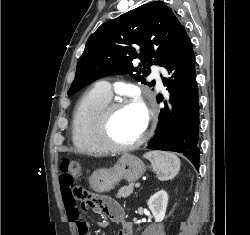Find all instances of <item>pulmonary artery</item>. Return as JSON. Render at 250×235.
I'll return each instance as SVG.
<instances>
[{
	"label": "pulmonary artery",
	"instance_id": "obj_1",
	"mask_svg": "<svg viewBox=\"0 0 250 235\" xmlns=\"http://www.w3.org/2000/svg\"><path fill=\"white\" fill-rule=\"evenodd\" d=\"M151 78L155 79L158 88L163 89V83H162V80L160 78V74L158 71L152 72ZM96 86L101 92H103L104 94L108 96H111L112 88H111V84L108 81H100L96 84Z\"/></svg>",
	"mask_w": 250,
	"mask_h": 235
}]
</instances>
